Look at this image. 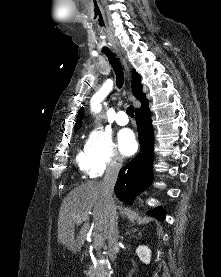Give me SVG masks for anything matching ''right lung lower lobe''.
I'll use <instances>...</instances> for the list:
<instances>
[{
	"label": "right lung lower lobe",
	"mask_w": 221,
	"mask_h": 277,
	"mask_svg": "<svg viewBox=\"0 0 221 277\" xmlns=\"http://www.w3.org/2000/svg\"><path fill=\"white\" fill-rule=\"evenodd\" d=\"M148 100L135 110L139 143V155L123 167L114 187L116 196L123 202L131 204L139 193L146 189L153 180L154 135ZM149 215L163 221L165 212L162 208H155Z\"/></svg>",
	"instance_id": "98d812e1"
}]
</instances>
